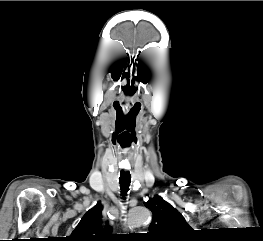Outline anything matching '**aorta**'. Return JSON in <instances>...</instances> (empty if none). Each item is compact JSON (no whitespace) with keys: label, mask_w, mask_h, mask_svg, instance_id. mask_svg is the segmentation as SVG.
Masks as SVG:
<instances>
[{"label":"aorta","mask_w":263,"mask_h":241,"mask_svg":"<svg viewBox=\"0 0 263 241\" xmlns=\"http://www.w3.org/2000/svg\"><path fill=\"white\" fill-rule=\"evenodd\" d=\"M151 219L150 211L145 207L132 208L127 216V225L130 228H135L147 224Z\"/></svg>","instance_id":"762f6f07"}]
</instances>
